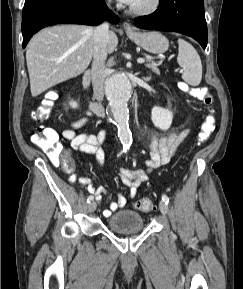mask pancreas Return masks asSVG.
Wrapping results in <instances>:
<instances>
[{
  "label": "pancreas",
  "mask_w": 243,
  "mask_h": 289,
  "mask_svg": "<svg viewBox=\"0 0 243 289\" xmlns=\"http://www.w3.org/2000/svg\"><path fill=\"white\" fill-rule=\"evenodd\" d=\"M148 61H149V63L146 64V67L150 68L154 73L159 75L160 74V70L158 68V65L155 62L151 61V60H148Z\"/></svg>",
  "instance_id": "cf45deb5"
}]
</instances>
